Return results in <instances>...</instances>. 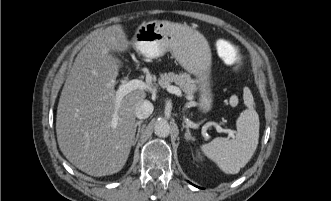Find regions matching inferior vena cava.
<instances>
[{
  "mask_svg": "<svg viewBox=\"0 0 331 201\" xmlns=\"http://www.w3.org/2000/svg\"><path fill=\"white\" fill-rule=\"evenodd\" d=\"M154 110L153 104L148 100H143L135 109V115L138 119L148 118Z\"/></svg>",
  "mask_w": 331,
  "mask_h": 201,
  "instance_id": "1",
  "label": "inferior vena cava"
}]
</instances>
